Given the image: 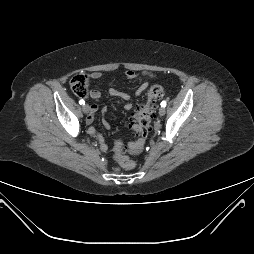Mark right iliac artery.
I'll return each instance as SVG.
<instances>
[{
    "label": "right iliac artery",
    "instance_id": "82829eb1",
    "mask_svg": "<svg viewBox=\"0 0 254 254\" xmlns=\"http://www.w3.org/2000/svg\"><path fill=\"white\" fill-rule=\"evenodd\" d=\"M79 104L84 105V104H85V101H84V100H80V101H79Z\"/></svg>",
    "mask_w": 254,
    "mask_h": 254
}]
</instances>
